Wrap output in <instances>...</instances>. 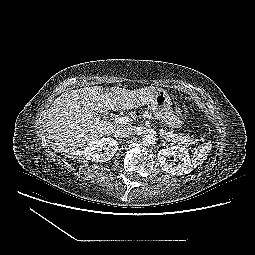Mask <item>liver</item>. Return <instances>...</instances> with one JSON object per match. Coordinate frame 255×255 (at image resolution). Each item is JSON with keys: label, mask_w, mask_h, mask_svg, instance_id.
Returning <instances> with one entry per match:
<instances>
[{"label": "liver", "mask_w": 255, "mask_h": 255, "mask_svg": "<svg viewBox=\"0 0 255 255\" xmlns=\"http://www.w3.org/2000/svg\"><path fill=\"white\" fill-rule=\"evenodd\" d=\"M156 89L153 86L135 90L115 87L108 92L101 86H93L66 91L53 101L48 111L47 141L68 157H79L82 147L89 142L126 126L101 119L99 113L142 107L153 98Z\"/></svg>", "instance_id": "1"}]
</instances>
